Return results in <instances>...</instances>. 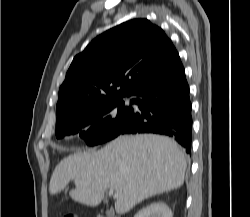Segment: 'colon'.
Segmentation results:
<instances>
[{
    "label": "colon",
    "mask_w": 250,
    "mask_h": 217,
    "mask_svg": "<svg viewBox=\"0 0 250 217\" xmlns=\"http://www.w3.org/2000/svg\"><path fill=\"white\" fill-rule=\"evenodd\" d=\"M62 217H76L73 213H65Z\"/></svg>",
    "instance_id": "5ec220e1"
}]
</instances>
